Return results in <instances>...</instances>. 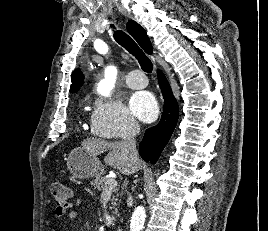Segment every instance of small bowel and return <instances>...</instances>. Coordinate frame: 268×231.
<instances>
[{"mask_svg": "<svg viewBox=\"0 0 268 231\" xmlns=\"http://www.w3.org/2000/svg\"><path fill=\"white\" fill-rule=\"evenodd\" d=\"M81 199L70 203L66 208L58 207L55 209V216L57 218L75 219L78 215V207L81 205Z\"/></svg>", "mask_w": 268, "mask_h": 231, "instance_id": "c3829d8e", "label": "small bowel"}]
</instances>
